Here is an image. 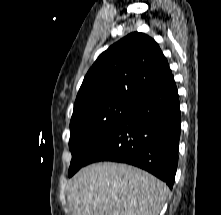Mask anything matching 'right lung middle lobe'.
I'll list each match as a JSON object with an SVG mask.
<instances>
[{
  "label": "right lung middle lobe",
  "mask_w": 221,
  "mask_h": 215,
  "mask_svg": "<svg viewBox=\"0 0 221 215\" xmlns=\"http://www.w3.org/2000/svg\"><path fill=\"white\" fill-rule=\"evenodd\" d=\"M132 106V102L107 100L74 107L70 121L69 148L72 160L69 177L87 164L92 152Z\"/></svg>",
  "instance_id": "dd1d6c3e"
}]
</instances>
